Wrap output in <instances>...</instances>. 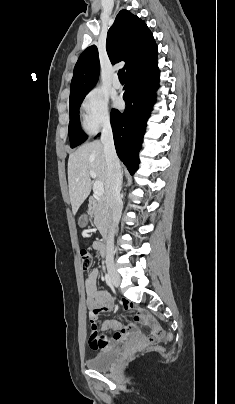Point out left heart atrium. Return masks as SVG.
<instances>
[{"label":"left heart atrium","mask_w":235,"mask_h":404,"mask_svg":"<svg viewBox=\"0 0 235 404\" xmlns=\"http://www.w3.org/2000/svg\"><path fill=\"white\" fill-rule=\"evenodd\" d=\"M120 102L118 100L115 101V106H119Z\"/></svg>","instance_id":"left-heart-atrium-1"}]
</instances>
